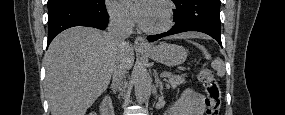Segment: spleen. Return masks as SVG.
Here are the masks:
<instances>
[{
  "label": "spleen",
  "instance_id": "1",
  "mask_svg": "<svg viewBox=\"0 0 285 115\" xmlns=\"http://www.w3.org/2000/svg\"><path fill=\"white\" fill-rule=\"evenodd\" d=\"M204 54L207 60L211 59V55L207 52L206 48L200 44L194 43ZM211 67L217 72V75L222 77L225 75V65L224 62L217 58L211 63Z\"/></svg>",
  "mask_w": 285,
  "mask_h": 115
}]
</instances>
